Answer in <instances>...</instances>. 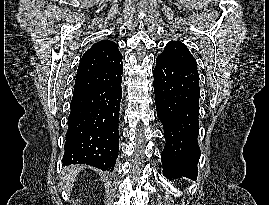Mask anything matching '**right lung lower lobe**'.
<instances>
[{"mask_svg":"<svg viewBox=\"0 0 269 205\" xmlns=\"http://www.w3.org/2000/svg\"><path fill=\"white\" fill-rule=\"evenodd\" d=\"M121 80L109 86L74 90L62 160L65 165L87 164L113 171L119 150Z\"/></svg>","mask_w":269,"mask_h":205,"instance_id":"obj_1","label":"right lung lower lobe"}]
</instances>
